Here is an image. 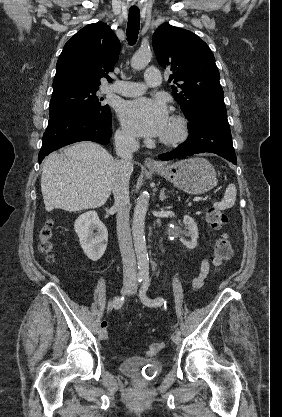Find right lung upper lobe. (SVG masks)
<instances>
[{
  "label": "right lung upper lobe",
  "mask_w": 282,
  "mask_h": 417,
  "mask_svg": "<svg viewBox=\"0 0 282 417\" xmlns=\"http://www.w3.org/2000/svg\"><path fill=\"white\" fill-rule=\"evenodd\" d=\"M120 42L103 22L89 24L64 46L56 65L53 93L98 88L101 78L111 82L108 72L118 60Z\"/></svg>",
  "instance_id": "cb5924a9"
}]
</instances>
